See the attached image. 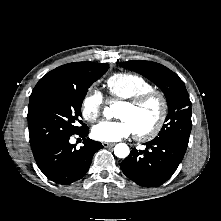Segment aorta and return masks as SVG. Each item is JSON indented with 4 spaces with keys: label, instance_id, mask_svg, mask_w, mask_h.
<instances>
[{
    "label": "aorta",
    "instance_id": "762f6f07",
    "mask_svg": "<svg viewBox=\"0 0 221 221\" xmlns=\"http://www.w3.org/2000/svg\"><path fill=\"white\" fill-rule=\"evenodd\" d=\"M113 112V106L104 108V116L106 118H111ZM129 147L125 143H119L114 148V153L118 158H126L129 155Z\"/></svg>",
    "mask_w": 221,
    "mask_h": 221
}]
</instances>
